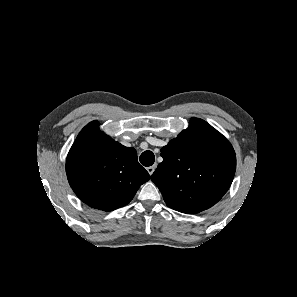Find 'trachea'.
Instances as JSON below:
<instances>
[{
  "label": "trachea",
  "instance_id": "obj_1",
  "mask_svg": "<svg viewBox=\"0 0 297 297\" xmlns=\"http://www.w3.org/2000/svg\"><path fill=\"white\" fill-rule=\"evenodd\" d=\"M139 160L143 166L148 167V166L153 165V163L155 161V156L152 151L147 150L141 154Z\"/></svg>",
  "mask_w": 297,
  "mask_h": 297
}]
</instances>
